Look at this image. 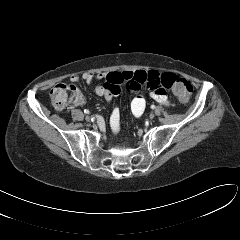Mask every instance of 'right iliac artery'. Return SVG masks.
I'll list each match as a JSON object with an SVG mask.
<instances>
[{"label":"right iliac artery","mask_w":240,"mask_h":240,"mask_svg":"<svg viewBox=\"0 0 240 240\" xmlns=\"http://www.w3.org/2000/svg\"><path fill=\"white\" fill-rule=\"evenodd\" d=\"M84 113H85V114H89V110L85 109V110H84Z\"/></svg>","instance_id":"82829eb1"}]
</instances>
